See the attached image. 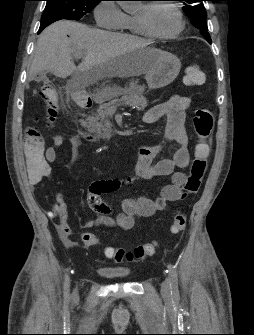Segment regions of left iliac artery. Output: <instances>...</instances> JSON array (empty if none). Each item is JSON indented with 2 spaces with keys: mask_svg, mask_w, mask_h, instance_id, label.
Masks as SVG:
<instances>
[{
  "mask_svg": "<svg viewBox=\"0 0 254 335\" xmlns=\"http://www.w3.org/2000/svg\"><path fill=\"white\" fill-rule=\"evenodd\" d=\"M168 272L170 278L171 294L174 298H177L179 297V290H178V273L176 266H174L173 264H169Z\"/></svg>",
  "mask_w": 254,
  "mask_h": 335,
  "instance_id": "1",
  "label": "left iliac artery"
}]
</instances>
